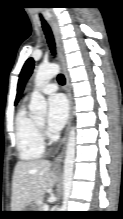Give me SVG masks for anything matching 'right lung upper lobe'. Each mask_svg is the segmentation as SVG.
I'll list each match as a JSON object with an SVG mask.
<instances>
[{
  "label": "right lung upper lobe",
  "mask_w": 123,
  "mask_h": 219,
  "mask_svg": "<svg viewBox=\"0 0 123 219\" xmlns=\"http://www.w3.org/2000/svg\"><path fill=\"white\" fill-rule=\"evenodd\" d=\"M22 91H23V89L18 90V93H17V96H16V100H15V104H17L18 100L20 99Z\"/></svg>",
  "instance_id": "1"
}]
</instances>
